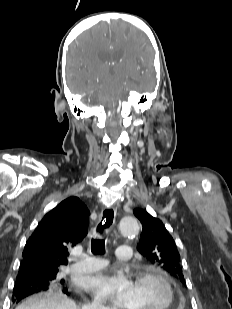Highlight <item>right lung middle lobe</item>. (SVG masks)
<instances>
[{
    "label": "right lung middle lobe",
    "instance_id": "1",
    "mask_svg": "<svg viewBox=\"0 0 232 309\" xmlns=\"http://www.w3.org/2000/svg\"><path fill=\"white\" fill-rule=\"evenodd\" d=\"M58 269L51 271H42L37 274L29 273L27 271H19L16 282H38L39 285L48 288H58L65 286V281L58 277Z\"/></svg>",
    "mask_w": 232,
    "mask_h": 309
}]
</instances>
